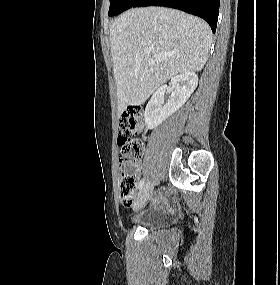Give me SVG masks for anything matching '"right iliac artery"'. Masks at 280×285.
Instances as JSON below:
<instances>
[{"mask_svg": "<svg viewBox=\"0 0 280 285\" xmlns=\"http://www.w3.org/2000/svg\"><path fill=\"white\" fill-rule=\"evenodd\" d=\"M144 186V179L139 182V189L141 190Z\"/></svg>", "mask_w": 280, "mask_h": 285, "instance_id": "right-iliac-artery-1", "label": "right iliac artery"}]
</instances>
